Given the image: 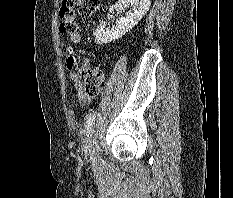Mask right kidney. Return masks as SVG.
Masks as SVG:
<instances>
[{"label":"right kidney","mask_w":233,"mask_h":198,"mask_svg":"<svg viewBox=\"0 0 233 198\" xmlns=\"http://www.w3.org/2000/svg\"><path fill=\"white\" fill-rule=\"evenodd\" d=\"M150 4V0H118L115 5L110 7V13H112L114 9L124 10L128 5H131L134 11L128 12L125 17L119 19L116 26L112 29L105 28L104 22H100V25L94 32L96 43L102 45L121 38L143 18L149 10Z\"/></svg>","instance_id":"1"}]
</instances>
